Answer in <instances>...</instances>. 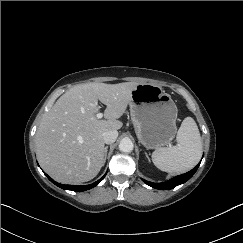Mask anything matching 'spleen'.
<instances>
[{
    "mask_svg": "<svg viewBox=\"0 0 243 243\" xmlns=\"http://www.w3.org/2000/svg\"><path fill=\"white\" fill-rule=\"evenodd\" d=\"M177 144L152 153L154 165L165 172L183 173L192 169L202 155V142L196 122L186 117L176 136Z\"/></svg>",
    "mask_w": 243,
    "mask_h": 243,
    "instance_id": "obj_1",
    "label": "spleen"
}]
</instances>
